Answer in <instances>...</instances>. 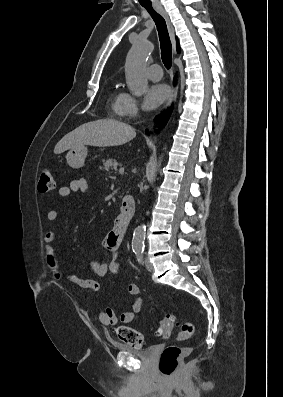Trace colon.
<instances>
[{
  "mask_svg": "<svg viewBox=\"0 0 283 397\" xmlns=\"http://www.w3.org/2000/svg\"><path fill=\"white\" fill-rule=\"evenodd\" d=\"M55 188V181L50 170H42L38 180V190L41 193H49ZM175 326L173 316H165L159 323L157 335L161 338H168ZM194 334V325L190 322L179 324L178 337L182 340L189 339ZM117 337L124 343L141 347L143 345V336L135 329L127 326H119L116 329ZM191 353V347H180L177 345H168L161 353L159 360V369L163 376L171 377L177 373L183 358Z\"/></svg>",
  "mask_w": 283,
  "mask_h": 397,
  "instance_id": "colon-1",
  "label": "colon"
}]
</instances>
